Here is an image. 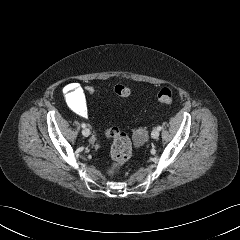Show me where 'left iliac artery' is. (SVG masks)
Segmentation results:
<instances>
[{
	"mask_svg": "<svg viewBox=\"0 0 240 240\" xmlns=\"http://www.w3.org/2000/svg\"><path fill=\"white\" fill-rule=\"evenodd\" d=\"M161 129H162V127H161V126H158V127H157V130H159V131H160Z\"/></svg>",
	"mask_w": 240,
	"mask_h": 240,
	"instance_id": "obj_1",
	"label": "left iliac artery"
}]
</instances>
